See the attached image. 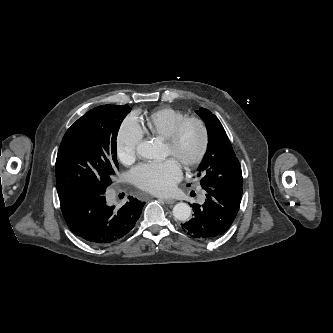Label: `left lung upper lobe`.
I'll return each instance as SVG.
<instances>
[{"label": "left lung upper lobe", "instance_id": "left-lung-upper-lobe-1", "mask_svg": "<svg viewBox=\"0 0 333 333\" xmlns=\"http://www.w3.org/2000/svg\"><path fill=\"white\" fill-rule=\"evenodd\" d=\"M196 113L207 126L208 147L198 168L202 187L242 188V172L229 138L218 120L209 110L200 108Z\"/></svg>", "mask_w": 333, "mask_h": 333}]
</instances>
